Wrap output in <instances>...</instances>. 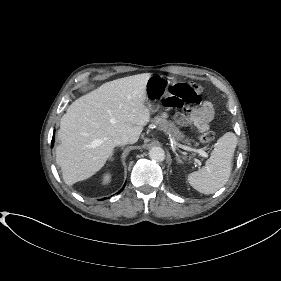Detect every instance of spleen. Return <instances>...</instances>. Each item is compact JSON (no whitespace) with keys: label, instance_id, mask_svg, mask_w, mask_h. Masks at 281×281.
Here are the masks:
<instances>
[{"label":"spleen","instance_id":"1","mask_svg":"<svg viewBox=\"0 0 281 281\" xmlns=\"http://www.w3.org/2000/svg\"><path fill=\"white\" fill-rule=\"evenodd\" d=\"M236 145L237 137L233 132H227L220 137L205 166L188 175L190 185L203 194H213L222 188L231 174Z\"/></svg>","mask_w":281,"mask_h":281}]
</instances>
